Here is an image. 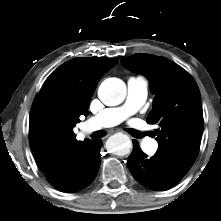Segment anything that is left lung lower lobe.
<instances>
[{"label": "left lung lower lobe", "mask_w": 221, "mask_h": 221, "mask_svg": "<svg viewBox=\"0 0 221 221\" xmlns=\"http://www.w3.org/2000/svg\"><path fill=\"white\" fill-rule=\"evenodd\" d=\"M133 146L127 166L141 185L152 190L162 191L170 189L180 181L162 165L156 155L148 157L143 153L136 140H133Z\"/></svg>", "instance_id": "left-lung-lower-lobe-1"}]
</instances>
